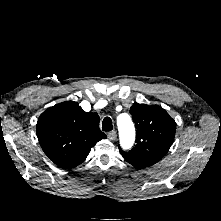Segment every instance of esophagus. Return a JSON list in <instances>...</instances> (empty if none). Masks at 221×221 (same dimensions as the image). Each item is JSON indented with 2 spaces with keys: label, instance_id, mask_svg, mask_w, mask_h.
I'll return each mask as SVG.
<instances>
[{
  "label": "esophagus",
  "instance_id": "1",
  "mask_svg": "<svg viewBox=\"0 0 221 221\" xmlns=\"http://www.w3.org/2000/svg\"><path fill=\"white\" fill-rule=\"evenodd\" d=\"M107 137L110 141H114L117 138V133L115 131L109 132L107 134Z\"/></svg>",
  "mask_w": 221,
  "mask_h": 221
}]
</instances>
